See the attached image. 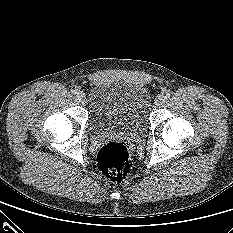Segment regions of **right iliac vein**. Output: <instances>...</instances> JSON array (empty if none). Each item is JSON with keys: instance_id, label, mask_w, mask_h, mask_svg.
<instances>
[{"instance_id": "63e3f726", "label": "right iliac vein", "mask_w": 233, "mask_h": 233, "mask_svg": "<svg viewBox=\"0 0 233 233\" xmlns=\"http://www.w3.org/2000/svg\"><path fill=\"white\" fill-rule=\"evenodd\" d=\"M77 99L79 102L84 103L86 101V95L83 92H78Z\"/></svg>"}]
</instances>
